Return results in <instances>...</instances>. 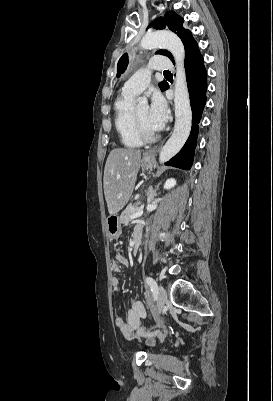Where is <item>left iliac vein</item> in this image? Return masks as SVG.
Masks as SVG:
<instances>
[{
	"label": "left iliac vein",
	"mask_w": 273,
	"mask_h": 401,
	"mask_svg": "<svg viewBox=\"0 0 273 401\" xmlns=\"http://www.w3.org/2000/svg\"><path fill=\"white\" fill-rule=\"evenodd\" d=\"M157 295H158V300H157L158 315H161V313L164 310L165 301H166V292L162 285H158Z\"/></svg>",
	"instance_id": "obj_1"
}]
</instances>
